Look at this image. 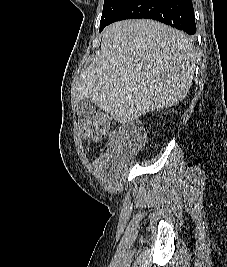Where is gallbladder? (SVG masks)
Masks as SVG:
<instances>
[{
	"label": "gallbladder",
	"mask_w": 227,
	"mask_h": 267,
	"mask_svg": "<svg viewBox=\"0 0 227 267\" xmlns=\"http://www.w3.org/2000/svg\"><path fill=\"white\" fill-rule=\"evenodd\" d=\"M95 104L90 98H84L78 102V114L80 116H90L95 112Z\"/></svg>",
	"instance_id": "obj_1"
}]
</instances>
